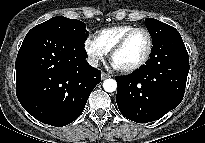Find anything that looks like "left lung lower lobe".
<instances>
[{"mask_svg": "<svg viewBox=\"0 0 205 143\" xmlns=\"http://www.w3.org/2000/svg\"><path fill=\"white\" fill-rule=\"evenodd\" d=\"M189 57L179 32L153 45L148 65L136 72L116 77V102L120 112L137 123L163 117L183 99Z\"/></svg>", "mask_w": 205, "mask_h": 143, "instance_id": "left-lung-lower-lobe-1", "label": "left lung lower lobe"}]
</instances>
